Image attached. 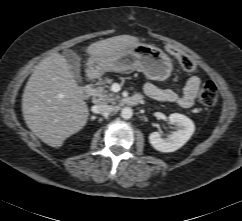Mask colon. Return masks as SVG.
Listing matches in <instances>:
<instances>
[{
  "mask_svg": "<svg viewBox=\"0 0 242 221\" xmlns=\"http://www.w3.org/2000/svg\"><path fill=\"white\" fill-rule=\"evenodd\" d=\"M166 50L169 54L174 56L179 62L180 66L185 72L191 73L196 69V64L193 59L182 52L181 50L175 48L174 46L168 45ZM199 102L206 107H210L215 104L217 100V87L216 85L208 81L204 83L199 91Z\"/></svg>",
  "mask_w": 242,
  "mask_h": 221,
  "instance_id": "5ec220e1",
  "label": "colon"
}]
</instances>
